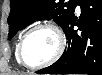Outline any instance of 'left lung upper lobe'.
Listing matches in <instances>:
<instances>
[{"instance_id":"left-lung-upper-lobe-1","label":"left lung upper lobe","mask_w":102,"mask_h":75,"mask_svg":"<svg viewBox=\"0 0 102 75\" xmlns=\"http://www.w3.org/2000/svg\"><path fill=\"white\" fill-rule=\"evenodd\" d=\"M80 0H10L9 38L38 20L53 19L62 28Z\"/></svg>"}]
</instances>
